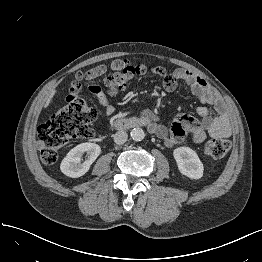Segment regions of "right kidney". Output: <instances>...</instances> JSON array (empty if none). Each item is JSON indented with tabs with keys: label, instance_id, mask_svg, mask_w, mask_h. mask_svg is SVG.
<instances>
[{
	"label": "right kidney",
	"instance_id": "obj_1",
	"mask_svg": "<svg viewBox=\"0 0 262 262\" xmlns=\"http://www.w3.org/2000/svg\"><path fill=\"white\" fill-rule=\"evenodd\" d=\"M101 152L100 146L95 143H81L71 149L62 160L60 169L68 177L78 178L90 169L91 164ZM87 153L86 160L81 163V156Z\"/></svg>",
	"mask_w": 262,
	"mask_h": 262
}]
</instances>
